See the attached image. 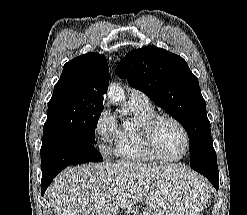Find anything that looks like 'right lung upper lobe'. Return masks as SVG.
Masks as SVG:
<instances>
[{
    "label": "right lung upper lobe",
    "instance_id": "cb5924a9",
    "mask_svg": "<svg viewBox=\"0 0 247 215\" xmlns=\"http://www.w3.org/2000/svg\"><path fill=\"white\" fill-rule=\"evenodd\" d=\"M108 84L109 67L106 58L89 52L64 65L54 92L70 90L75 96L103 103Z\"/></svg>",
    "mask_w": 247,
    "mask_h": 215
}]
</instances>
